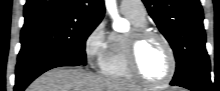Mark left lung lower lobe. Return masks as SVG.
Returning <instances> with one entry per match:
<instances>
[{
	"mask_svg": "<svg viewBox=\"0 0 220 91\" xmlns=\"http://www.w3.org/2000/svg\"><path fill=\"white\" fill-rule=\"evenodd\" d=\"M171 85H177V86L184 87L192 91H211L212 90V83L210 80V75L205 74V73L200 74V75H194L179 83H171Z\"/></svg>",
	"mask_w": 220,
	"mask_h": 91,
	"instance_id": "obj_1",
	"label": "left lung lower lobe"
}]
</instances>
